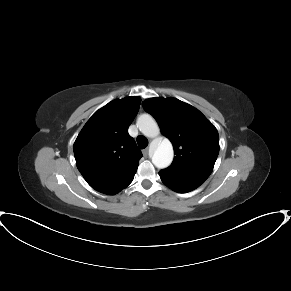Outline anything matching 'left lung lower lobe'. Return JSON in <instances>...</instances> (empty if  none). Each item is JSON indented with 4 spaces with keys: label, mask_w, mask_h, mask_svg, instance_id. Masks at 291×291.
<instances>
[{
    "label": "left lung lower lobe",
    "mask_w": 291,
    "mask_h": 291,
    "mask_svg": "<svg viewBox=\"0 0 291 291\" xmlns=\"http://www.w3.org/2000/svg\"><path fill=\"white\" fill-rule=\"evenodd\" d=\"M161 177L162 182L171 188L172 190L179 192V193H186L189 192L197 187H199L201 184L196 182H187V181H180L177 179H173L170 177H167L163 174H159Z\"/></svg>",
    "instance_id": "obj_1"
}]
</instances>
